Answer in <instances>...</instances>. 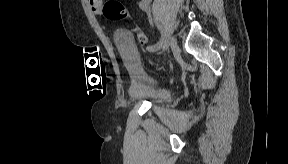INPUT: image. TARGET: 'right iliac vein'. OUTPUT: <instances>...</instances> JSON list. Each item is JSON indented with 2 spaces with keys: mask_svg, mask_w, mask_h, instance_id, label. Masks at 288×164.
Returning <instances> with one entry per match:
<instances>
[{
  "mask_svg": "<svg viewBox=\"0 0 288 164\" xmlns=\"http://www.w3.org/2000/svg\"><path fill=\"white\" fill-rule=\"evenodd\" d=\"M170 42V37L166 34V32H163V37H162V51H164Z\"/></svg>",
  "mask_w": 288,
  "mask_h": 164,
  "instance_id": "obj_1",
  "label": "right iliac vein"
}]
</instances>
